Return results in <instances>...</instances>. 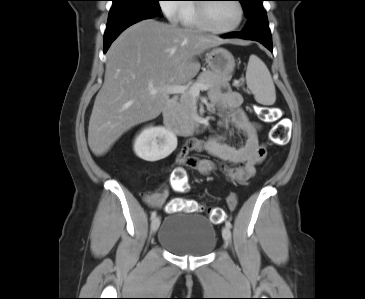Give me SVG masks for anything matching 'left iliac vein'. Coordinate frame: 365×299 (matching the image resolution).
I'll use <instances>...</instances> for the list:
<instances>
[{
	"instance_id": "4c4485c4",
	"label": "left iliac vein",
	"mask_w": 365,
	"mask_h": 299,
	"mask_svg": "<svg viewBox=\"0 0 365 299\" xmlns=\"http://www.w3.org/2000/svg\"><path fill=\"white\" fill-rule=\"evenodd\" d=\"M222 236H223V239L226 241V242H229L230 241V238H231V231H230V228L225 226L223 229H222Z\"/></svg>"
}]
</instances>
